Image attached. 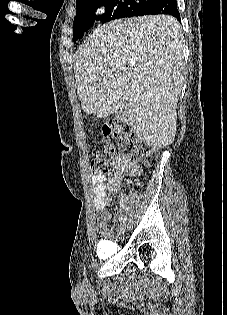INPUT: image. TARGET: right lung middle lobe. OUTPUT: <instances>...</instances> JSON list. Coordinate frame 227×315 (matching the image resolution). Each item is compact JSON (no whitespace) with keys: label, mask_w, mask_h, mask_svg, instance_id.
<instances>
[{"label":"right lung middle lobe","mask_w":227,"mask_h":315,"mask_svg":"<svg viewBox=\"0 0 227 315\" xmlns=\"http://www.w3.org/2000/svg\"><path fill=\"white\" fill-rule=\"evenodd\" d=\"M150 0H77V14L74 19L73 41L84 34L94 23V12L99 6H105L106 12L96 20L108 21L125 18L131 10L142 8Z\"/></svg>","instance_id":"dd1d6c3e"}]
</instances>
